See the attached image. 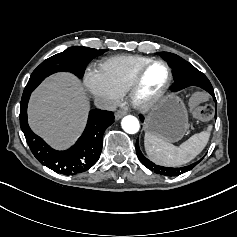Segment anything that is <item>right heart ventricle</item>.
Wrapping results in <instances>:
<instances>
[{"mask_svg": "<svg viewBox=\"0 0 237 237\" xmlns=\"http://www.w3.org/2000/svg\"><path fill=\"white\" fill-rule=\"evenodd\" d=\"M149 61V58L138 55H118L105 59L100 68L122 95L128 91L139 70Z\"/></svg>", "mask_w": 237, "mask_h": 237, "instance_id": "right-heart-ventricle-1", "label": "right heart ventricle"}]
</instances>
